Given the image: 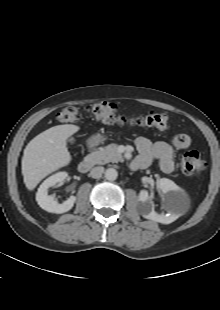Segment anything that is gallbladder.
I'll use <instances>...</instances> for the list:
<instances>
[{
	"instance_id": "obj_1",
	"label": "gallbladder",
	"mask_w": 220,
	"mask_h": 310,
	"mask_svg": "<svg viewBox=\"0 0 220 310\" xmlns=\"http://www.w3.org/2000/svg\"><path fill=\"white\" fill-rule=\"evenodd\" d=\"M67 141H68L70 144H73V143L75 142V139H74L73 137H71V138H69Z\"/></svg>"
}]
</instances>
